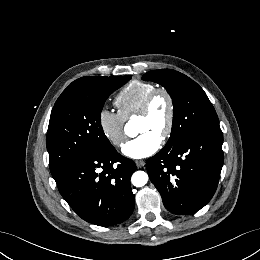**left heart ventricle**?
<instances>
[{
	"instance_id": "left-heart-ventricle-1",
	"label": "left heart ventricle",
	"mask_w": 260,
	"mask_h": 260,
	"mask_svg": "<svg viewBox=\"0 0 260 260\" xmlns=\"http://www.w3.org/2000/svg\"><path fill=\"white\" fill-rule=\"evenodd\" d=\"M168 101L163 95L155 98L150 113L147 116L137 118L138 133L152 132L161 137L168 118Z\"/></svg>"
}]
</instances>
